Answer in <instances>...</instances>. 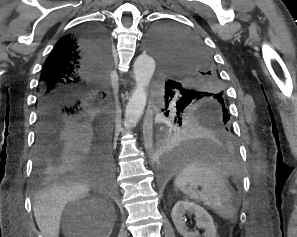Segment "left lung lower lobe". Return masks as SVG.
I'll use <instances>...</instances> for the list:
<instances>
[{
	"label": "left lung lower lobe",
	"mask_w": 297,
	"mask_h": 237,
	"mask_svg": "<svg viewBox=\"0 0 297 237\" xmlns=\"http://www.w3.org/2000/svg\"><path fill=\"white\" fill-rule=\"evenodd\" d=\"M170 86L165 88V99L175 96ZM177 103V115L184 118L183 125L174 135L168 137L159 156L164 168H176L198 159L228 157L235 151L234 133L229 119L204 107L189 109L184 99ZM167 104V103H166Z\"/></svg>",
	"instance_id": "0a47b994"
}]
</instances>
